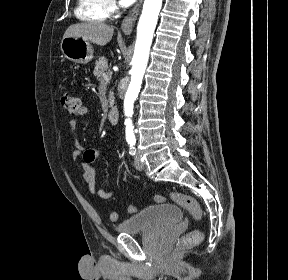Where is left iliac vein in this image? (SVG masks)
Listing matches in <instances>:
<instances>
[{"label": "left iliac vein", "instance_id": "4c4485c4", "mask_svg": "<svg viewBox=\"0 0 288 280\" xmlns=\"http://www.w3.org/2000/svg\"><path fill=\"white\" fill-rule=\"evenodd\" d=\"M134 165L137 170H142L144 168V165L138 156H136L134 159Z\"/></svg>", "mask_w": 288, "mask_h": 280}]
</instances>
